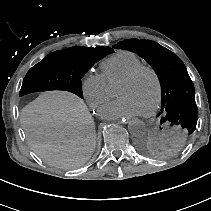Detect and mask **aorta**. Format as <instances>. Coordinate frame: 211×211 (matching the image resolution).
<instances>
[{
	"mask_svg": "<svg viewBox=\"0 0 211 211\" xmlns=\"http://www.w3.org/2000/svg\"><path fill=\"white\" fill-rule=\"evenodd\" d=\"M119 86L116 83L109 85V93L114 94L118 90ZM128 130L131 135L135 137H142L146 133V126L143 121L139 119H133L128 123Z\"/></svg>",
	"mask_w": 211,
	"mask_h": 211,
	"instance_id": "aorta-1",
	"label": "aorta"
}]
</instances>
